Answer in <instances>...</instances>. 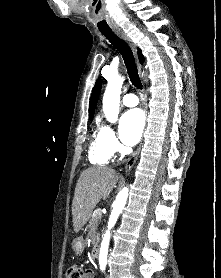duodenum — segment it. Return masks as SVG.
<instances>
[{
    "instance_id": "duodenum-1",
    "label": "duodenum",
    "mask_w": 221,
    "mask_h": 278,
    "mask_svg": "<svg viewBox=\"0 0 221 278\" xmlns=\"http://www.w3.org/2000/svg\"><path fill=\"white\" fill-rule=\"evenodd\" d=\"M91 255L93 258L98 257V255H99V244L98 243L93 244L92 249H91Z\"/></svg>"
}]
</instances>
